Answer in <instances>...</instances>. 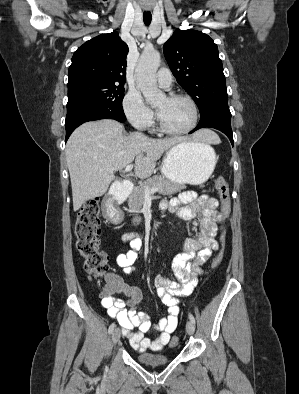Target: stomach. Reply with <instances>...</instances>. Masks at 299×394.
<instances>
[{"label":"stomach","mask_w":299,"mask_h":394,"mask_svg":"<svg viewBox=\"0 0 299 394\" xmlns=\"http://www.w3.org/2000/svg\"><path fill=\"white\" fill-rule=\"evenodd\" d=\"M216 162V154L207 144L180 142L167 151L160 169L173 183L200 185L209 179Z\"/></svg>","instance_id":"0dacf381"}]
</instances>
